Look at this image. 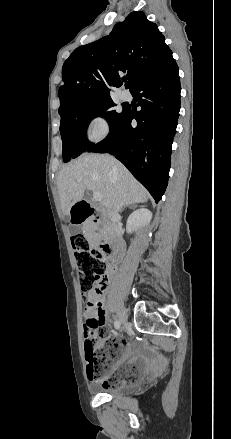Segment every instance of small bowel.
Masks as SVG:
<instances>
[{
  "label": "small bowel",
  "instance_id": "obj_1",
  "mask_svg": "<svg viewBox=\"0 0 231 439\" xmlns=\"http://www.w3.org/2000/svg\"><path fill=\"white\" fill-rule=\"evenodd\" d=\"M104 291L99 293H92L89 297V303L84 312V329H85V343L95 344L94 341L89 340L88 333L99 330L107 321V312L105 308ZM95 304V306H92ZM124 344V354L120 361L114 368V370L124 368L127 361L136 354V348L133 344L128 343L126 340ZM101 340H97L96 344H100Z\"/></svg>",
  "mask_w": 231,
  "mask_h": 439
}]
</instances>
